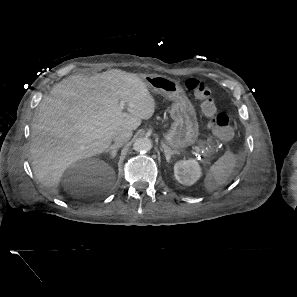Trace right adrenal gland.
I'll return each mask as SVG.
<instances>
[{
    "mask_svg": "<svg viewBox=\"0 0 297 297\" xmlns=\"http://www.w3.org/2000/svg\"><path fill=\"white\" fill-rule=\"evenodd\" d=\"M119 147H120L119 145L113 144L108 149H106L105 152L106 153L109 152L111 155V158H114L117 154Z\"/></svg>",
    "mask_w": 297,
    "mask_h": 297,
    "instance_id": "1",
    "label": "right adrenal gland"
}]
</instances>
